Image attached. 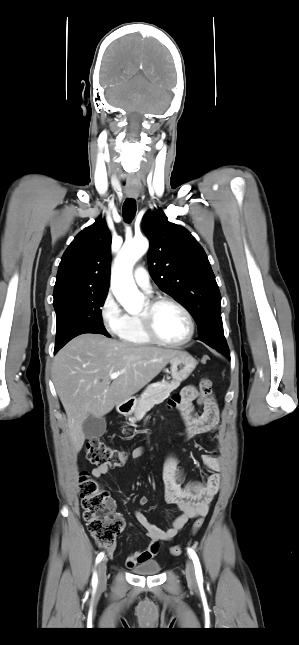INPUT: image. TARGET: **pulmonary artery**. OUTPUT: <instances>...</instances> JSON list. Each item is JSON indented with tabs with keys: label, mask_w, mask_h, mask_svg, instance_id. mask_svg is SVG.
Here are the masks:
<instances>
[{
	"label": "pulmonary artery",
	"mask_w": 299,
	"mask_h": 645,
	"mask_svg": "<svg viewBox=\"0 0 299 645\" xmlns=\"http://www.w3.org/2000/svg\"><path fill=\"white\" fill-rule=\"evenodd\" d=\"M134 279L144 291L150 292V278L145 268L141 266L137 267L134 271Z\"/></svg>",
	"instance_id": "1"
}]
</instances>
